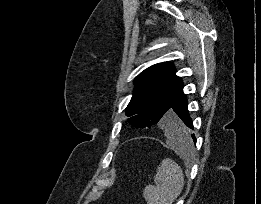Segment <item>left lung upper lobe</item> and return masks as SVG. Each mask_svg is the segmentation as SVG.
I'll return each instance as SVG.
<instances>
[{
    "mask_svg": "<svg viewBox=\"0 0 261 204\" xmlns=\"http://www.w3.org/2000/svg\"><path fill=\"white\" fill-rule=\"evenodd\" d=\"M134 93L126 108L128 122L136 128L160 126L183 86L170 62L155 64L135 79Z\"/></svg>",
    "mask_w": 261,
    "mask_h": 204,
    "instance_id": "left-lung-upper-lobe-1",
    "label": "left lung upper lobe"
}]
</instances>
